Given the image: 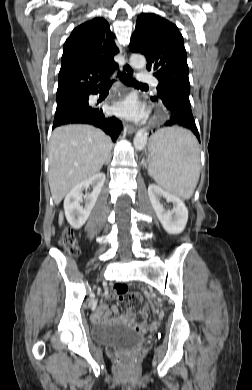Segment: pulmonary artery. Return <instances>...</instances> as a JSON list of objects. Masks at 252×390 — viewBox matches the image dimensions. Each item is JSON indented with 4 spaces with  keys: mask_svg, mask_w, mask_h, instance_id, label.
I'll return each instance as SVG.
<instances>
[{
    "mask_svg": "<svg viewBox=\"0 0 252 390\" xmlns=\"http://www.w3.org/2000/svg\"><path fill=\"white\" fill-rule=\"evenodd\" d=\"M137 79L140 82H151L153 86H158V81L148 73H139L137 74Z\"/></svg>",
    "mask_w": 252,
    "mask_h": 390,
    "instance_id": "1",
    "label": "pulmonary artery"
}]
</instances>
